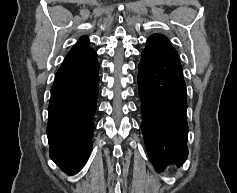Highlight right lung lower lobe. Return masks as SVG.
<instances>
[{
  "instance_id": "obj_1",
  "label": "right lung lower lobe",
  "mask_w": 237,
  "mask_h": 193,
  "mask_svg": "<svg viewBox=\"0 0 237 193\" xmlns=\"http://www.w3.org/2000/svg\"><path fill=\"white\" fill-rule=\"evenodd\" d=\"M96 56L94 50H70L51 88L50 158L69 175L81 170L92 147L100 66Z\"/></svg>"
}]
</instances>
